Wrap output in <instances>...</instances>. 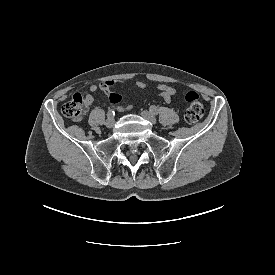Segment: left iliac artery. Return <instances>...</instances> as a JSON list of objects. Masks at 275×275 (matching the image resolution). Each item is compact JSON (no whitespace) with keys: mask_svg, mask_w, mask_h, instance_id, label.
<instances>
[{"mask_svg":"<svg viewBox=\"0 0 275 275\" xmlns=\"http://www.w3.org/2000/svg\"><path fill=\"white\" fill-rule=\"evenodd\" d=\"M150 111H151L154 115H156V114L158 113V109H157V107L154 106V105H152V106L150 107Z\"/></svg>","mask_w":275,"mask_h":275,"instance_id":"obj_1","label":"left iliac artery"}]
</instances>
